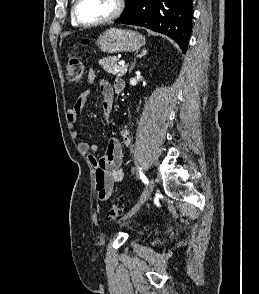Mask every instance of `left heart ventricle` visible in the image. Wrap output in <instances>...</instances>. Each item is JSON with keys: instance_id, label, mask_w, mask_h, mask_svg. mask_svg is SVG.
<instances>
[{"instance_id": "b2bd125f", "label": "left heart ventricle", "mask_w": 259, "mask_h": 294, "mask_svg": "<svg viewBox=\"0 0 259 294\" xmlns=\"http://www.w3.org/2000/svg\"><path fill=\"white\" fill-rule=\"evenodd\" d=\"M115 9V0H81L78 5V16L83 22H95Z\"/></svg>"}]
</instances>
